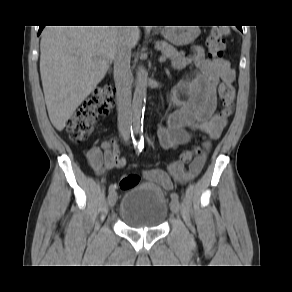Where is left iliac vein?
<instances>
[{"label": "left iliac vein", "mask_w": 292, "mask_h": 292, "mask_svg": "<svg viewBox=\"0 0 292 292\" xmlns=\"http://www.w3.org/2000/svg\"><path fill=\"white\" fill-rule=\"evenodd\" d=\"M170 209L171 211L175 214V215H179V211H180V208H179V202L174 200V201H171L170 203Z\"/></svg>", "instance_id": "obj_1"}]
</instances>
